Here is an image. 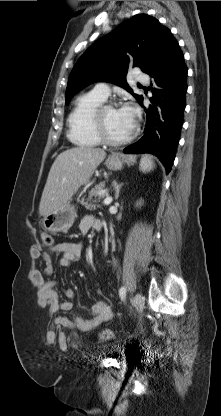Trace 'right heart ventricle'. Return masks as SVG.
<instances>
[{"mask_svg":"<svg viewBox=\"0 0 221 416\" xmlns=\"http://www.w3.org/2000/svg\"><path fill=\"white\" fill-rule=\"evenodd\" d=\"M105 100L94 91L77 98L68 116V137L71 142L82 147H94L102 143L94 129V114Z\"/></svg>","mask_w":221,"mask_h":416,"instance_id":"right-heart-ventricle-1","label":"right heart ventricle"}]
</instances>
